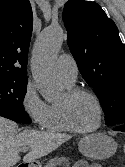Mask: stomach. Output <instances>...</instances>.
I'll use <instances>...</instances> for the list:
<instances>
[{
    "instance_id": "obj_1",
    "label": "stomach",
    "mask_w": 125,
    "mask_h": 167,
    "mask_svg": "<svg viewBox=\"0 0 125 167\" xmlns=\"http://www.w3.org/2000/svg\"><path fill=\"white\" fill-rule=\"evenodd\" d=\"M79 151L82 155L102 160L112 156L117 149L115 140L105 134L96 133L83 137L78 144ZM28 167H41L39 162H31Z\"/></svg>"
}]
</instances>
